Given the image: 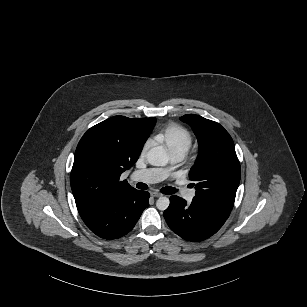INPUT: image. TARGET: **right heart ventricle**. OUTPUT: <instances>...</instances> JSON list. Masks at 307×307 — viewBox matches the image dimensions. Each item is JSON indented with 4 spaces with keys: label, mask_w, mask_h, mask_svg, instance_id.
Wrapping results in <instances>:
<instances>
[{
    "label": "right heart ventricle",
    "mask_w": 307,
    "mask_h": 307,
    "mask_svg": "<svg viewBox=\"0 0 307 307\" xmlns=\"http://www.w3.org/2000/svg\"><path fill=\"white\" fill-rule=\"evenodd\" d=\"M156 139L163 142L171 153H187L192 145L191 135L177 126L157 129Z\"/></svg>",
    "instance_id": "right-heart-ventricle-1"
}]
</instances>
